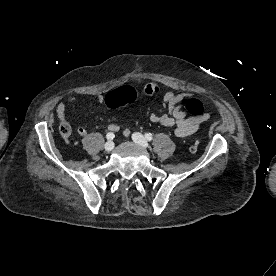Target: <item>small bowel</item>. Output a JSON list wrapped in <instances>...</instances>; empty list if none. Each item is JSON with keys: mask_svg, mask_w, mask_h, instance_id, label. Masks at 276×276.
<instances>
[{"mask_svg": "<svg viewBox=\"0 0 276 276\" xmlns=\"http://www.w3.org/2000/svg\"><path fill=\"white\" fill-rule=\"evenodd\" d=\"M147 85L155 89V94L159 92V87L155 83H148ZM154 94V95H155ZM190 94L187 92H181L177 89H171L165 92L162 96L161 110L159 112L153 113L150 116V120L153 123L165 126L174 127V135L178 138H185L193 135L208 118V114L202 116H189L182 107V101L184 98L188 97ZM82 101L81 98L77 96H71L65 101L60 102L56 107V113L61 121L65 120L66 107L72 103ZM87 101L94 103H103L104 97L101 94H94ZM109 130L119 131V126L115 124L109 125ZM77 132L81 136L87 135V129L80 126ZM125 136H129L130 131L127 129L122 130Z\"/></svg>", "mask_w": 276, "mask_h": 276, "instance_id": "c3829d8e", "label": "small bowel"}]
</instances>
